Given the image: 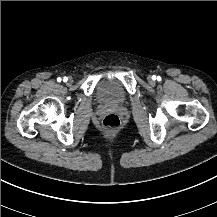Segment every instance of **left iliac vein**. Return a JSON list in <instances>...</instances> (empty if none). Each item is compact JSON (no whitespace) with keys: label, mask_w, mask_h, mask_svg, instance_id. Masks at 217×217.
I'll return each instance as SVG.
<instances>
[{"label":"left iliac vein","mask_w":217,"mask_h":217,"mask_svg":"<svg viewBox=\"0 0 217 217\" xmlns=\"http://www.w3.org/2000/svg\"><path fill=\"white\" fill-rule=\"evenodd\" d=\"M149 83H150L151 85H154V84H155V80H154L153 77H149Z\"/></svg>","instance_id":"1"}]
</instances>
